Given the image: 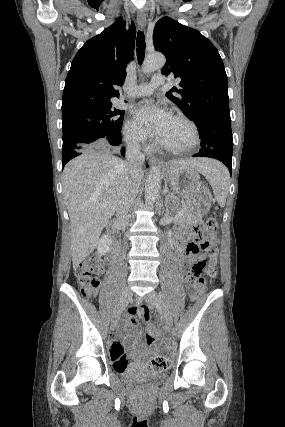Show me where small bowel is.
I'll use <instances>...</instances> for the list:
<instances>
[{
  "mask_svg": "<svg viewBox=\"0 0 285 427\" xmlns=\"http://www.w3.org/2000/svg\"><path fill=\"white\" fill-rule=\"evenodd\" d=\"M187 227L177 226L171 232L172 244L175 248L176 259L180 263H185V252H184V235L186 233ZM145 314H148V311H144ZM124 322L126 326L132 327L135 329V333L137 336L140 335V328L138 326V320L134 313H129L125 316ZM147 326L149 329V336L152 337L155 335L154 330L151 327V324L147 322ZM131 340L130 336H125L121 340H112L110 342L111 347V361L113 367L116 370L122 369L120 365L123 362H127L128 359L133 360L134 362H144L147 360L152 353L148 351L144 344L140 341V339H136L133 341V347L129 352H125L123 348V343L129 342Z\"/></svg>",
  "mask_w": 285,
  "mask_h": 427,
  "instance_id": "1",
  "label": "small bowel"
}]
</instances>
